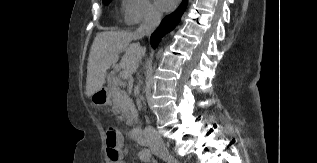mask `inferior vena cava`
Listing matches in <instances>:
<instances>
[{
    "label": "inferior vena cava",
    "mask_w": 317,
    "mask_h": 163,
    "mask_svg": "<svg viewBox=\"0 0 317 163\" xmlns=\"http://www.w3.org/2000/svg\"><path fill=\"white\" fill-rule=\"evenodd\" d=\"M161 14L158 11L150 10L145 15L144 21L137 29L139 37L150 36L153 31L159 26L161 22ZM145 140L151 150L156 156L160 158L166 157L168 151L159 133L152 127L148 126L144 129Z\"/></svg>",
    "instance_id": "1"
}]
</instances>
